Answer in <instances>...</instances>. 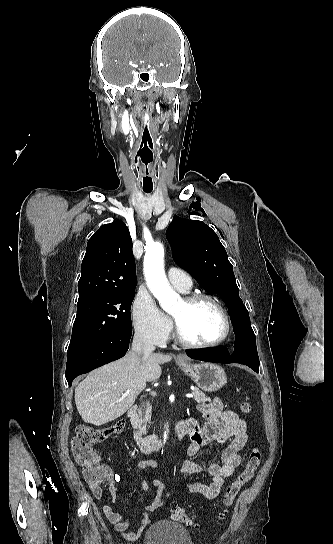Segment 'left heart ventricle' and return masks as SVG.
I'll return each mask as SVG.
<instances>
[{
    "instance_id": "left-heart-ventricle-1",
    "label": "left heart ventricle",
    "mask_w": 333,
    "mask_h": 544,
    "mask_svg": "<svg viewBox=\"0 0 333 544\" xmlns=\"http://www.w3.org/2000/svg\"><path fill=\"white\" fill-rule=\"evenodd\" d=\"M184 335L191 341L207 343L218 339L224 331V320L218 308L210 302L188 307L181 301L173 310Z\"/></svg>"
}]
</instances>
